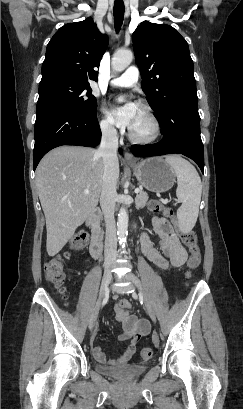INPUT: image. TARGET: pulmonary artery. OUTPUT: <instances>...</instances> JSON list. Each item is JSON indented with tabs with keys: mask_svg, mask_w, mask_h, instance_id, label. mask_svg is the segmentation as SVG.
Here are the masks:
<instances>
[{
	"mask_svg": "<svg viewBox=\"0 0 243 409\" xmlns=\"http://www.w3.org/2000/svg\"><path fill=\"white\" fill-rule=\"evenodd\" d=\"M139 71L136 67H129L119 77L113 79L110 83L115 87H130L138 81Z\"/></svg>",
	"mask_w": 243,
	"mask_h": 409,
	"instance_id": "1",
	"label": "pulmonary artery"
}]
</instances>
